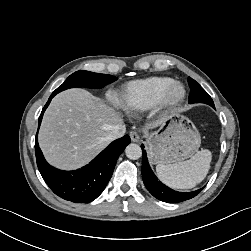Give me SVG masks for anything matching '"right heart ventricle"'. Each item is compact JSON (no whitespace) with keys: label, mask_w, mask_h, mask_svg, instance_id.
<instances>
[{"label":"right heart ventricle","mask_w":251,"mask_h":251,"mask_svg":"<svg viewBox=\"0 0 251 251\" xmlns=\"http://www.w3.org/2000/svg\"><path fill=\"white\" fill-rule=\"evenodd\" d=\"M174 80L166 76H153L130 82L118 103L129 113L143 112L157 105L161 92Z\"/></svg>","instance_id":"e07e8e85"}]
</instances>
